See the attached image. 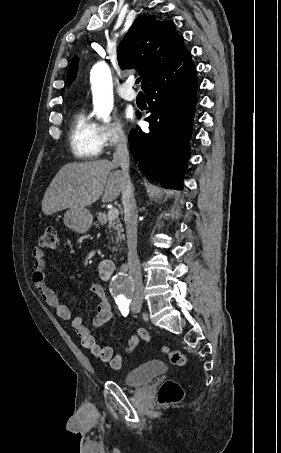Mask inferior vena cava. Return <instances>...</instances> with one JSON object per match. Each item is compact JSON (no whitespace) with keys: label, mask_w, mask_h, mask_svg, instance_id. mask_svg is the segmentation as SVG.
Here are the masks:
<instances>
[{"label":"inferior vena cava","mask_w":281,"mask_h":453,"mask_svg":"<svg viewBox=\"0 0 281 453\" xmlns=\"http://www.w3.org/2000/svg\"><path fill=\"white\" fill-rule=\"evenodd\" d=\"M115 142L116 150L113 154L112 162H117L118 166H121L122 168V170H120L123 176L122 204L124 206V220L126 224L129 277L135 285L133 303H137V301H143L141 267L139 265L136 249L138 210L136 206V200L134 198V186L130 180L129 174L130 158L127 148V138L122 130H118V136Z\"/></svg>","instance_id":"602c4592"}]
</instances>
